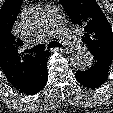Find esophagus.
I'll return each mask as SVG.
<instances>
[{
	"label": "esophagus",
	"instance_id": "obj_1",
	"mask_svg": "<svg viewBox=\"0 0 113 113\" xmlns=\"http://www.w3.org/2000/svg\"><path fill=\"white\" fill-rule=\"evenodd\" d=\"M54 50L58 51V52L60 51V52L66 53V54L71 53V50L68 48H55Z\"/></svg>",
	"mask_w": 113,
	"mask_h": 113
}]
</instances>
